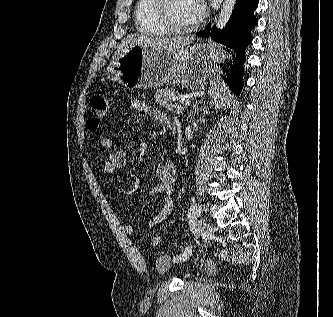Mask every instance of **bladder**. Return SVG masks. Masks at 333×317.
<instances>
[{
  "mask_svg": "<svg viewBox=\"0 0 333 317\" xmlns=\"http://www.w3.org/2000/svg\"><path fill=\"white\" fill-rule=\"evenodd\" d=\"M154 268L160 276H168L176 269V264L170 255H162L155 259Z\"/></svg>",
  "mask_w": 333,
  "mask_h": 317,
  "instance_id": "1",
  "label": "bladder"
}]
</instances>
